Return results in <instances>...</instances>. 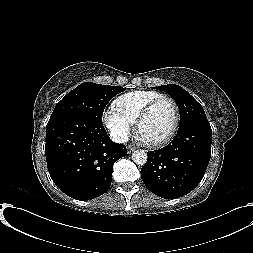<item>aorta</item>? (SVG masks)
I'll return each mask as SVG.
<instances>
[{
	"label": "aorta",
	"mask_w": 253,
	"mask_h": 253,
	"mask_svg": "<svg viewBox=\"0 0 253 253\" xmlns=\"http://www.w3.org/2000/svg\"><path fill=\"white\" fill-rule=\"evenodd\" d=\"M132 160L137 165H144L147 162V154L144 150H136L132 153Z\"/></svg>",
	"instance_id": "aorta-1"
}]
</instances>
